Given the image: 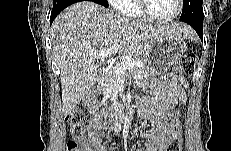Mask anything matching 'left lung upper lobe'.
<instances>
[{
    "label": "left lung upper lobe",
    "instance_id": "1",
    "mask_svg": "<svg viewBox=\"0 0 231 151\" xmlns=\"http://www.w3.org/2000/svg\"><path fill=\"white\" fill-rule=\"evenodd\" d=\"M202 3L203 0H183L181 17L190 18L195 15L204 16Z\"/></svg>",
    "mask_w": 231,
    "mask_h": 151
}]
</instances>
